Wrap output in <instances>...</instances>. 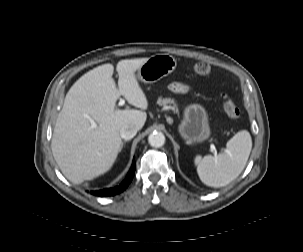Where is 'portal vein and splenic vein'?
Here are the masks:
<instances>
[{"label":"portal vein and splenic vein","instance_id":"obj_1","mask_svg":"<svg viewBox=\"0 0 303 252\" xmlns=\"http://www.w3.org/2000/svg\"><path fill=\"white\" fill-rule=\"evenodd\" d=\"M124 103H125V101L123 99H121L118 105L122 106V105H124ZM91 126H92V128H95L97 125L94 121H91ZM211 151L215 152V146L213 144L211 145Z\"/></svg>","mask_w":303,"mask_h":252}]
</instances>
